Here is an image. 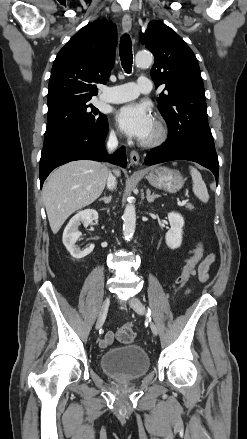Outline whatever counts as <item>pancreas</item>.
I'll return each mask as SVG.
<instances>
[{
  "mask_svg": "<svg viewBox=\"0 0 247 439\" xmlns=\"http://www.w3.org/2000/svg\"><path fill=\"white\" fill-rule=\"evenodd\" d=\"M186 208L191 211L194 209V206L192 204H187Z\"/></svg>",
  "mask_w": 247,
  "mask_h": 439,
  "instance_id": "pancreas-1",
  "label": "pancreas"
}]
</instances>
